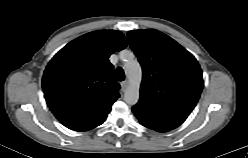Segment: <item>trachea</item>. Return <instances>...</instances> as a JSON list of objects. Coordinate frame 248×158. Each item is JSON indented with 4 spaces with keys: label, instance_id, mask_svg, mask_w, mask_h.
Returning <instances> with one entry per match:
<instances>
[{
    "label": "trachea",
    "instance_id": "obj_1",
    "mask_svg": "<svg viewBox=\"0 0 248 158\" xmlns=\"http://www.w3.org/2000/svg\"><path fill=\"white\" fill-rule=\"evenodd\" d=\"M116 78L118 81H123L125 79V74L121 67L116 69Z\"/></svg>",
    "mask_w": 248,
    "mask_h": 158
}]
</instances>
